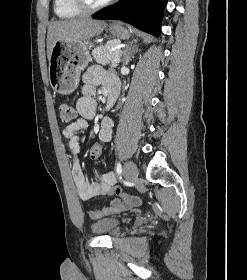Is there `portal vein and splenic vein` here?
<instances>
[{
  "mask_svg": "<svg viewBox=\"0 0 247 280\" xmlns=\"http://www.w3.org/2000/svg\"><path fill=\"white\" fill-rule=\"evenodd\" d=\"M117 49H119V48L117 47ZM114 50H116V48ZM120 56H121V53H117L116 57L112 60V62L113 63H119L120 62Z\"/></svg>",
  "mask_w": 247,
  "mask_h": 280,
  "instance_id": "obj_1",
  "label": "portal vein and splenic vein"
}]
</instances>
